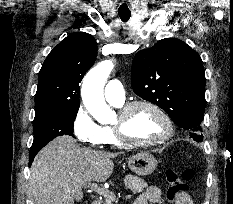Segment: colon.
Returning a JSON list of instances; mask_svg holds the SVG:
<instances>
[{"label":"colon","instance_id":"1","mask_svg":"<svg viewBox=\"0 0 233 204\" xmlns=\"http://www.w3.org/2000/svg\"><path fill=\"white\" fill-rule=\"evenodd\" d=\"M194 177V171L187 168L181 172L176 169L169 168L165 172V179L168 183L167 197L171 201H175L178 197L187 192V182Z\"/></svg>","mask_w":233,"mask_h":204}]
</instances>
